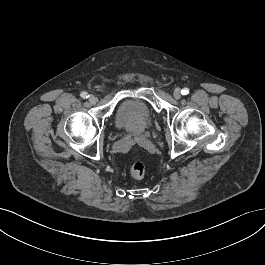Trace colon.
Masks as SVG:
<instances>
[{
    "label": "colon",
    "mask_w": 265,
    "mask_h": 265,
    "mask_svg": "<svg viewBox=\"0 0 265 265\" xmlns=\"http://www.w3.org/2000/svg\"><path fill=\"white\" fill-rule=\"evenodd\" d=\"M130 174L135 179H142L146 174V167L142 162H134L129 168Z\"/></svg>",
    "instance_id": "colon-1"
}]
</instances>
